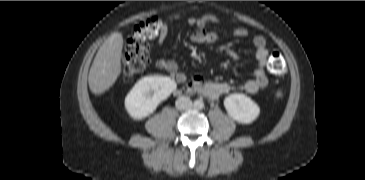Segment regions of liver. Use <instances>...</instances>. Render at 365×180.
I'll return each instance as SVG.
<instances>
[{
    "instance_id": "6515ba94",
    "label": "liver",
    "mask_w": 365,
    "mask_h": 180,
    "mask_svg": "<svg viewBox=\"0 0 365 180\" xmlns=\"http://www.w3.org/2000/svg\"><path fill=\"white\" fill-rule=\"evenodd\" d=\"M123 36L112 33L99 48L90 68L88 83L95 95L107 91L121 74Z\"/></svg>"
}]
</instances>
